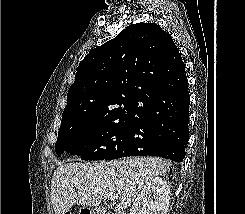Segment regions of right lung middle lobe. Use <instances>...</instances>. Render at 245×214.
<instances>
[{"label":"right lung middle lobe","instance_id":"right-lung-middle-lobe-1","mask_svg":"<svg viewBox=\"0 0 245 214\" xmlns=\"http://www.w3.org/2000/svg\"><path fill=\"white\" fill-rule=\"evenodd\" d=\"M135 112L111 119H92L84 115L62 116L55 151L81 156L82 160L116 159L127 142Z\"/></svg>","mask_w":245,"mask_h":214}]
</instances>
